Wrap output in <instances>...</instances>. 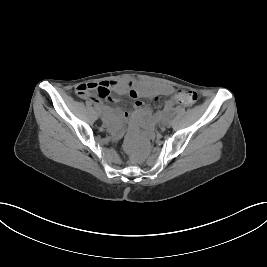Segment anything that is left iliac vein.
Masks as SVG:
<instances>
[{
  "label": "left iliac vein",
  "instance_id": "obj_1",
  "mask_svg": "<svg viewBox=\"0 0 267 267\" xmlns=\"http://www.w3.org/2000/svg\"><path fill=\"white\" fill-rule=\"evenodd\" d=\"M163 126H164V127H168V126H169V123H168V122H164V123H163Z\"/></svg>",
  "mask_w": 267,
  "mask_h": 267
}]
</instances>
